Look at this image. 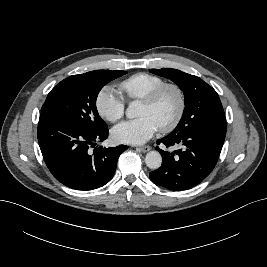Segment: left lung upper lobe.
I'll list each match as a JSON object with an SVG mask.
<instances>
[{"instance_id": "left-lung-upper-lobe-1", "label": "left lung upper lobe", "mask_w": 267, "mask_h": 267, "mask_svg": "<svg viewBox=\"0 0 267 267\" xmlns=\"http://www.w3.org/2000/svg\"><path fill=\"white\" fill-rule=\"evenodd\" d=\"M150 72L172 80L184 93L185 109L171 136L197 128L226 127L222 104L216 91L197 76L176 69H150Z\"/></svg>"}]
</instances>
